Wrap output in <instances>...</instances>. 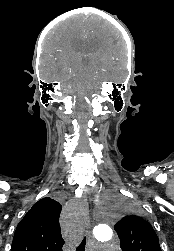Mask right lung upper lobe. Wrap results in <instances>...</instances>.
Masks as SVG:
<instances>
[{
	"instance_id": "right-lung-upper-lobe-1",
	"label": "right lung upper lobe",
	"mask_w": 174,
	"mask_h": 251,
	"mask_svg": "<svg viewBox=\"0 0 174 251\" xmlns=\"http://www.w3.org/2000/svg\"><path fill=\"white\" fill-rule=\"evenodd\" d=\"M61 209L59 202L48 197L35 203L18 224L11 251H62Z\"/></svg>"
}]
</instances>
